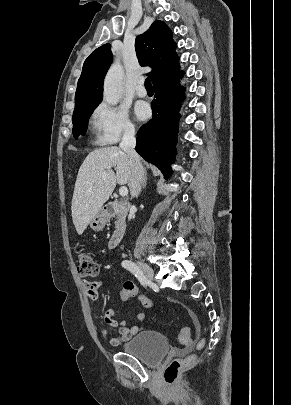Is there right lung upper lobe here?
<instances>
[{"label":"right lung upper lobe","instance_id":"1","mask_svg":"<svg viewBox=\"0 0 291 405\" xmlns=\"http://www.w3.org/2000/svg\"><path fill=\"white\" fill-rule=\"evenodd\" d=\"M175 48L171 30L160 20L154 21L145 33L136 37L138 61L142 66L152 67L149 74L153 84L179 72V58ZM111 63L110 44L97 48L85 60L78 80L73 113L99 105L102 101L103 80Z\"/></svg>","mask_w":291,"mask_h":405}]
</instances>
